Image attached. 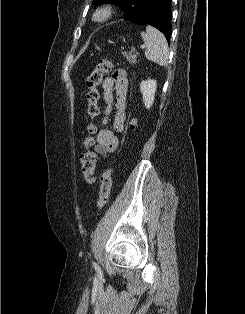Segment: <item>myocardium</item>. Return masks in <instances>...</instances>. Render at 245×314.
<instances>
[{
    "label": "myocardium",
    "mask_w": 245,
    "mask_h": 314,
    "mask_svg": "<svg viewBox=\"0 0 245 314\" xmlns=\"http://www.w3.org/2000/svg\"><path fill=\"white\" fill-rule=\"evenodd\" d=\"M113 14L114 7L110 4H103L95 10L93 14V20L102 23L109 20Z\"/></svg>",
    "instance_id": "1"
}]
</instances>
